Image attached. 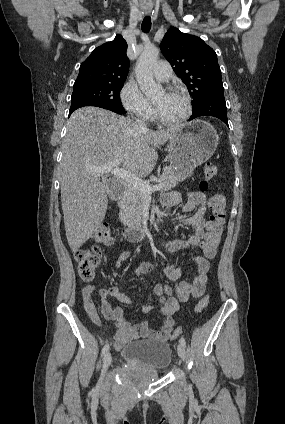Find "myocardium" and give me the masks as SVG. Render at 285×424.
<instances>
[{
  "label": "myocardium",
  "mask_w": 285,
  "mask_h": 424,
  "mask_svg": "<svg viewBox=\"0 0 285 424\" xmlns=\"http://www.w3.org/2000/svg\"><path fill=\"white\" fill-rule=\"evenodd\" d=\"M168 94H177L180 95L184 98L185 103H186V112L185 114L178 120H174V121H169L164 119L158 112L156 106L154 105V114H155V118L156 120L164 125V126H168V127H177L180 126L182 124H184L185 122H187L189 120V118L191 117L192 113H193V106H192V100L191 97L189 96V94L179 88H170L167 92Z\"/></svg>",
  "instance_id": "obj_1"
}]
</instances>
